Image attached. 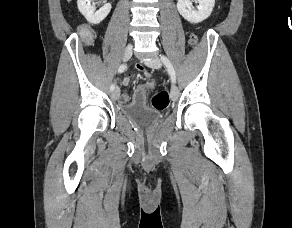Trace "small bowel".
Returning a JSON list of instances; mask_svg holds the SVG:
<instances>
[{
	"mask_svg": "<svg viewBox=\"0 0 292 228\" xmlns=\"http://www.w3.org/2000/svg\"><path fill=\"white\" fill-rule=\"evenodd\" d=\"M135 70L142 73L144 77L149 78L150 73L144 69V67L141 64H137L135 66ZM131 81V75H128L122 80V85L127 86ZM153 88L152 84H143V85H138L133 92L132 95V104L133 105H146L147 102V94L149 91H151ZM120 101L121 103H127L129 101V96L128 93L123 90L120 96Z\"/></svg>",
	"mask_w": 292,
	"mask_h": 228,
	"instance_id": "1",
	"label": "small bowel"
}]
</instances>
